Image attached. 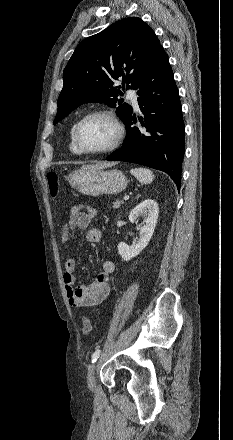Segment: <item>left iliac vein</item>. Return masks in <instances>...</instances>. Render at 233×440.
<instances>
[{
    "instance_id": "left-iliac-vein-1",
    "label": "left iliac vein",
    "mask_w": 233,
    "mask_h": 440,
    "mask_svg": "<svg viewBox=\"0 0 233 440\" xmlns=\"http://www.w3.org/2000/svg\"><path fill=\"white\" fill-rule=\"evenodd\" d=\"M97 363L92 364L89 369H88V373H87V385L89 387V389L93 390L96 386V381H95V369H96Z\"/></svg>"
}]
</instances>
